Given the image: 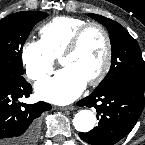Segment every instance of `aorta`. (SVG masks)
I'll return each mask as SVG.
<instances>
[{
	"mask_svg": "<svg viewBox=\"0 0 145 145\" xmlns=\"http://www.w3.org/2000/svg\"><path fill=\"white\" fill-rule=\"evenodd\" d=\"M96 124V115L91 110H80L75 114L73 125L79 132H89Z\"/></svg>",
	"mask_w": 145,
	"mask_h": 145,
	"instance_id": "obj_1",
	"label": "aorta"
}]
</instances>
